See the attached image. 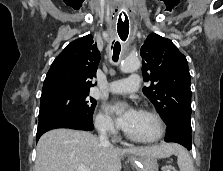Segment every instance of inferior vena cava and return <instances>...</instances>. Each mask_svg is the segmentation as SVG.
<instances>
[{"mask_svg":"<svg viewBox=\"0 0 223 171\" xmlns=\"http://www.w3.org/2000/svg\"><path fill=\"white\" fill-rule=\"evenodd\" d=\"M99 141L104 145H109L110 144L105 128L100 129Z\"/></svg>","mask_w":223,"mask_h":171,"instance_id":"1","label":"inferior vena cava"}]
</instances>
